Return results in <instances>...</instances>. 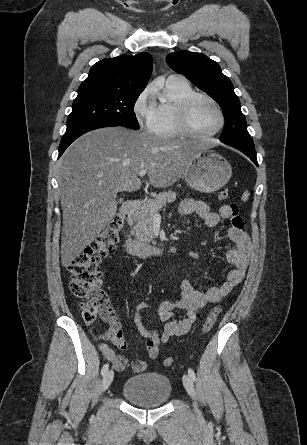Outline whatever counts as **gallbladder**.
<instances>
[{"instance_id": "bac80fb5", "label": "gallbladder", "mask_w": 307, "mask_h": 445, "mask_svg": "<svg viewBox=\"0 0 307 445\" xmlns=\"http://www.w3.org/2000/svg\"><path fill=\"white\" fill-rule=\"evenodd\" d=\"M118 203H121V200H118Z\"/></svg>"}]
</instances>
